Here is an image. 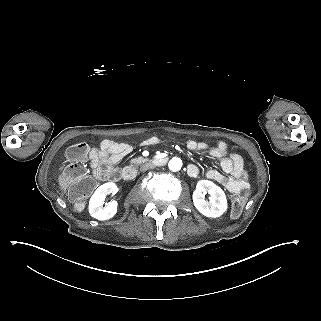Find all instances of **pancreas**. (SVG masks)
Listing matches in <instances>:
<instances>
[{
  "label": "pancreas",
  "mask_w": 321,
  "mask_h": 321,
  "mask_svg": "<svg viewBox=\"0 0 321 321\" xmlns=\"http://www.w3.org/2000/svg\"><path fill=\"white\" fill-rule=\"evenodd\" d=\"M148 159L147 158H143V157H138V158H135V159H132L131 160V163H134V164H141L143 162H147Z\"/></svg>",
  "instance_id": "pancreas-1"
}]
</instances>
